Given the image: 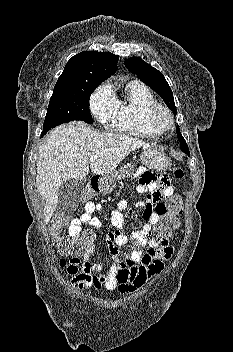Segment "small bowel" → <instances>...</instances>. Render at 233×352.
Segmentation results:
<instances>
[{
    "mask_svg": "<svg viewBox=\"0 0 233 352\" xmlns=\"http://www.w3.org/2000/svg\"><path fill=\"white\" fill-rule=\"evenodd\" d=\"M139 177V185L136 188L138 193H148L145 201L140 203L144 209V224L139 230L132 234V240L135 244L143 246L148 244L150 249L142 253L140 250H134L130 257L122 262L119 260L121 254L119 247L128 243L129 238L123 232L124 215L121 210L126 207L122 201L119 204L120 210L111 212L109 227L113 230L109 234V249L114 263L108 271H104L103 265L91 262L92 247H87L79 257L72 258L69 263L64 260L60 261L61 267H66L70 283L76 289L82 291L93 286V277L98 274L101 284L107 290L117 289L121 293H129L142 286L148 279L160 273L163 269V261L169 259L174 248L168 244L170 233L159 235L151 238L152 232H157V226L160 222V214L153 210V205L157 206L162 203L164 198H169L173 194V188L170 185L169 178L165 175L156 174L145 168H139L136 172ZM102 210V205L92 201L86 202L84 213L72 219L68 226L70 237H77L82 230V225H90L95 228L101 227L99 219L93 216L96 211Z\"/></svg>",
    "mask_w": 233,
    "mask_h": 352,
    "instance_id": "small-bowel-1",
    "label": "small bowel"
}]
</instances>
